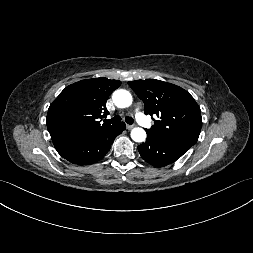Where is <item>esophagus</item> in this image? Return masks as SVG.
Wrapping results in <instances>:
<instances>
[{
  "label": "esophagus",
  "instance_id": "obj_1",
  "mask_svg": "<svg viewBox=\"0 0 253 253\" xmlns=\"http://www.w3.org/2000/svg\"><path fill=\"white\" fill-rule=\"evenodd\" d=\"M134 127H135L134 125H126V128H127L128 130L133 129Z\"/></svg>",
  "mask_w": 253,
  "mask_h": 253
}]
</instances>
